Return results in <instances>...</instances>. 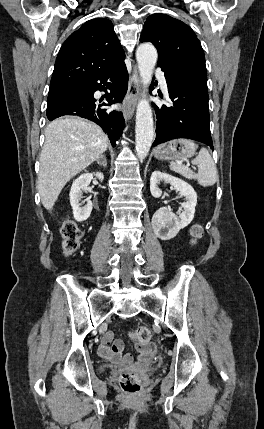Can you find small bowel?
<instances>
[{"label":"small bowel","mask_w":264,"mask_h":429,"mask_svg":"<svg viewBox=\"0 0 264 429\" xmlns=\"http://www.w3.org/2000/svg\"><path fill=\"white\" fill-rule=\"evenodd\" d=\"M124 343L122 340L113 341V333L111 331L104 334L101 344L98 348L99 354L114 363L129 366L132 364L133 359L130 355H123ZM136 349L139 353V360L145 361L152 357L156 352V345L154 343H147L145 345H137Z\"/></svg>","instance_id":"c3829d8e"}]
</instances>
